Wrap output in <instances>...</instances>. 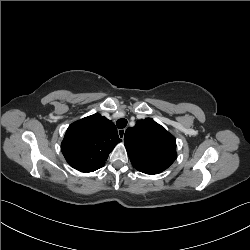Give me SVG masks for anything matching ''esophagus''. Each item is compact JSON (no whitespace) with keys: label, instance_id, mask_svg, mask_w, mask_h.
I'll use <instances>...</instances> for the list:
<instances>
[{"label":"esophagus","instance_id":"obj_1","mask_svg":"<svg viewBox=\"0 0 250 250\" xmlns=\"http://www.w3.org/2000/svg\"><path fill=\"white\" fill-rule=\"evenodd\" d=\"M118 135L123 140L124 139V135H125V129H119L118 130Z\"/></svg>","mask_w":250,"mask_h":250}]
</instances>
